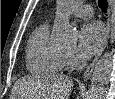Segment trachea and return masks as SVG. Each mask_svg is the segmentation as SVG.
<instances>
[{"label": "trachea", "instance_id": "trachea-1", "mask_svg": "<svg viewBox=\"0 0 115 99\" xmlns=\"http://www.w3.org/2000/svg\"><path fill=\"white\" fill-rule=\"evenodd\" d=\"M98 5L102 9L103 12H107V0H98Z\"/></svg>", "mask_w": 115, "mask_h": 99}]
</instances>
